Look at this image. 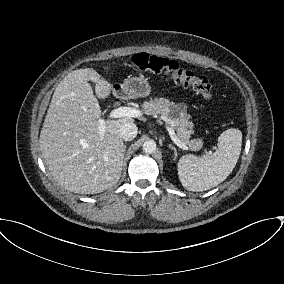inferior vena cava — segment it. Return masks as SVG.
Segmentation results:
<instances>
[{
	"label": "inferior vena cava",
	"instance_id": "inferior-vena-cava-1",
	"mask_svg": "<svg viewBox=\"0 0 284 284\" xmlns=\"http://www.w3.org/2000/svg\"><path fill=\"white\" fill-rule=\"evenodd\" d=\"M137 132H138V128L133 122L124 123L120 127L121 138L125 141L133 140L136 137Z\"/></svg>",
	"mask_w": 284,
	"mask_h": 284
}]
</instances>
